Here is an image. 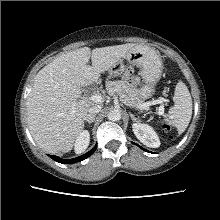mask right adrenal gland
Returning <instances> with one entry per match:
<instances>
[{
    "label": "right adrenal gland",
    "instance_id": "right-adrenal-gland-1",
    "mask_svg": "<svg viewBox=\"0 0 220 220\" xmlns=\"http://www.w3.org/2000/svg\"><path fill=\"white\" fill-rule=\"evenodd\" d=\"M95 115L92 116V119L89 121V123L91 124L94 121Z\"/></svg>",
    "mask_w": 220,
    "mask_h": 220
}]
</instances>
